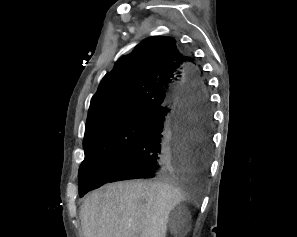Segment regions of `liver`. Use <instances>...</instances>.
<instances>
[{"label": "liver", "mask_w": 297, "mask_h": 237, "mask_svg": "<svg viewBox=\"0 0 297 237\" xmlns=\"http://www.w3.org/2000/svg\"><path fill=\"white\" fill-rule=\"evenodd\" d=\"M173 176L170 181L116 182L93 192L80 207L85 237H166L171 210L192 199Z\"/></svg>", "instance_id": "obj_1"}]
</instances>
